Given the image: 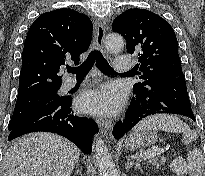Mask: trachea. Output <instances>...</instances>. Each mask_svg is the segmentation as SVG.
Listing matches in <instances>:
<instances>
[{
	"instance_id": "1",
	"label": "trachea",
	"mask_w": 205,
	"mask_h": 176,
	"mask_svg": "<svg viewBox=\"0 0 205 176\" xmlns=\"http://www.w3.org/2000/svg\"><path fill=\"white\" fill-rule=\"evenodd\" d=\"M98 69L108 75L115 74L116 72L114 69L109 65L107 60L103 57V55L99 51H92L85 62H83L78 67H69L67 71L69 73L76 74V77H84L87 73L92 69L93 65L95 64ZM132 71V70H131Z\"/></svg>"
}]
</instances>
